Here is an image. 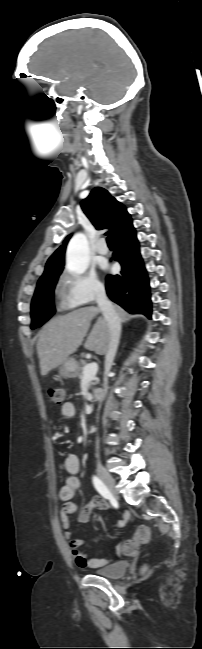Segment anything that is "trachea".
Instances as JSON below:
<instances>
[{"label":"trachea","mask_w":202,"mask_h":649,"mask_svg":"<svg viewBox=\"0 0 202 649\" xmlns=\"http://www.w3.org/2000/svg\"><path fill=\"white\" fill-rule=\"evenodd\" d=\"M106 240L108 245H113V237L111 235H109Z\"/></svg>","instance_id":"1"}]
</instances>
